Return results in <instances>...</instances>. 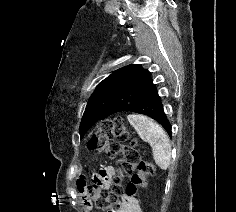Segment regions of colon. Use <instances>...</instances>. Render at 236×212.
<instances>
[{"label": "colon", "mask_w": 236, "mask_h": 212, "mask_svg": "<svg viewBox=\"0 0 236 212\" xmlns=\"http://www.w3.org/2000/svg\"><path fill=\"white\" fill-rule=\"evenodd\" d=\"M110 139L117 141L109 143ZM88 148L98 153H105L110 157H120L122 168L132 173L131 181L127 185L128 195H135L140 188L147 185L148 178L155 173L154 166L141 158V153L125 128L120 118L105 119L98 127V131L88 141ZM104 184L97 179L87 188V195L95 206L105 212H115L112 208L117 206L121 194L120 181L115 179L113 187L105 192L101 188Z\"/></svg>", "instance_id": "colon-1"}]
</instances>
